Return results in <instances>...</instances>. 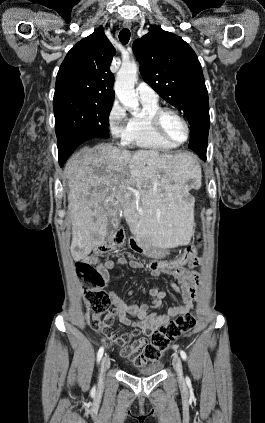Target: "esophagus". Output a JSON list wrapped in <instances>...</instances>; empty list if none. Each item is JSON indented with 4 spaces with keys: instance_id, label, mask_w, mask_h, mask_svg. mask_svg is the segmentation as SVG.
I'll return each instance as SVG.
<instances>
[{
    "instance_id": "1",
    "label": "esophagus",
    "mask_w": 265,
    "mask_h": 423,
    "mask_svg": "<svg viewBox=\"0 0 265 423\" xmlns=\"http://www.w3.org/2000/svg\"><path fill=\"white\" fill-rule=\"evenodd\" d=\"M131 22L129 21V20H125L124 22H123V26L125 27V28H131Z\"/></svg>"
}]
</instances>
